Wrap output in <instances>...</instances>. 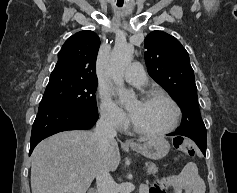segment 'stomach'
I'll return each instance as SVG.
<instances>
[{
  "label": "stomach",
  "mask_w": 237,
  "mask_h": 193,
  "mask_svg": "<svg viewBox=\"0 0 237 193\" xmlns=\"http://www.w3.org/2000/svg\"><path fill=\"white\" fill-rule=\"evenodd\" d=\"M130 147L133 151L152 160L165 157L170 150V144L162 137L149 138L143 143L133 144Z\"/></svg>",
  "instance_id": "1"
}]
</instances>
